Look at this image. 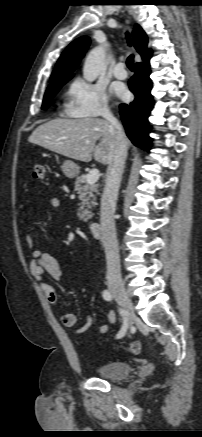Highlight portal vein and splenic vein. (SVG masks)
<instances>
[{"instance_id": "portal-vein-and-splenic-vein-1", "label": "portal vein and splenic vein", "mask_w": 202, "mask_h": 437, "mask_svg": "<svg viewBox=\"0 0 202 437\" xmlns=\"http://www.w3.org/2000/svg\"><path fill=\"white\" fill-rule=\"evenodd\" d=\"M99 176H100L99 170L98 169H92L88 173V175H87V178H86L87 184H94V183H96L98 181V179H99Z\"/></svg>"}]
</instances>
